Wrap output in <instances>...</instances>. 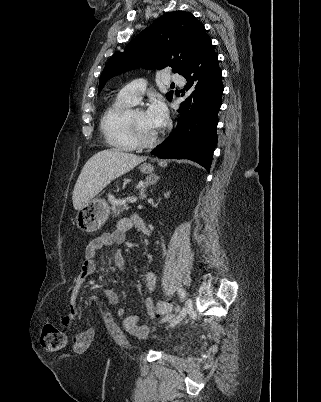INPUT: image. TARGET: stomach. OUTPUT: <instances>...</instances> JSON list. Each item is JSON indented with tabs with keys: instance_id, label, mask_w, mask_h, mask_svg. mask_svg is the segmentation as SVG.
Segmentation results:
<instances>
[{
	"instance_id": "stomach-1",
	"label": "stomach",
	"mask_w": 321,
	"mask_h": 402,
	"mask_svg": "<svg viewBox=\"0 0 321 402\" xmlns=\"http://www.w3.org/2000/svg\"><path fill=\"white\" fill-rule=\"evenodd\" d=\"M164 163L161 162V165ZM142 173H151L153 166L148 163H143L140 166ZM110 214V206L105 199L92 198L84 206L78 210L76 215L77 227L85 232H95L101 228L106 222Z\"/></svg>"
}]
</instances>
